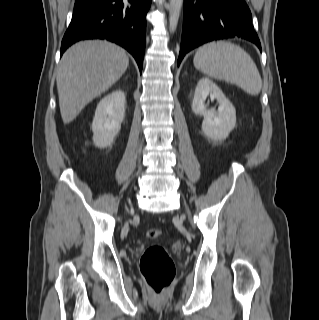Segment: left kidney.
Returning a JSON list of instances; mask_svg holds the SVG:
<instances>
[{"label":"left kidney","instance_id":"left-kidney-1","mask_svg":"<svg viewBox=\"0 0 319 320\" xmlns=\"http://www.w3.org/2000/svg\"><path fill=\"white\" fill-rule=\"evenodd\" d=\"M210 93L211 99H217L218 110L208 109L205 100ZM192 111L202 115V131L213 140H224L236 126V111L221 89L209 78H201L195 89Z\"/></svg>","mask_w":319,"mask_h":320}]
</instances>
